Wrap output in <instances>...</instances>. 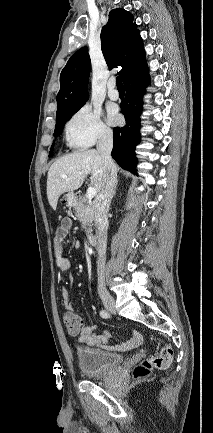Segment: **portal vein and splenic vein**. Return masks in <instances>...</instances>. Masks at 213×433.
<instances>
[{"mask_svg": "<svg viewBox=\"0 0 213 433\" xmlns=\"http://www.w3.org/2000/svg\"><path fill=\"white\" fill-rule=\"evenodd\" d=\"M63 178H67L66 175H62ZM96 195V190L93 187L87 189L86 198L92 199Z\"/></svg>", "mask_w": 213, "mask_h": 433, "instance_id": "obj_1", "label": "portal vein and splenic vein"}]
</instances>
